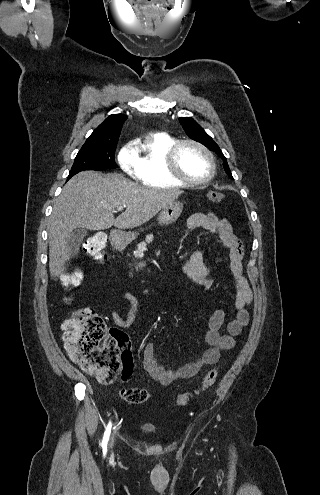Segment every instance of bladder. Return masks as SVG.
I'll return each instance as SVG.
<instances>
[{"label":"bladder","mask_w":320,"mask_h":495,"mask_svg":"<svg viewBox=\"0 0 320 495\" xmlns=\"http://www.w3.org/2000/svg\"><path fill=\"white\" fill-rule=\"evenodd\" d=\"M142 429L144 431H146V432H152V431H154V427L148 426V425L143 426Z\"/></svg>","instance_id":"obj_1"}]
</instances>
